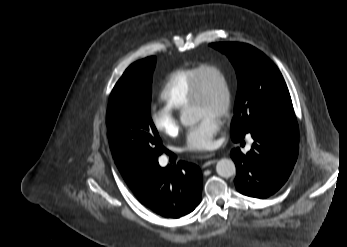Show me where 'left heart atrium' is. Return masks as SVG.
<instances>
[{"label": "left heart atrium", "instance_id": "obj_1", "mask_svg": "<svg viewBox=\"0 0 347 247\" xmlns=\"http://www.w3.org/2000/svg\"><path fill=\"white\" fill-rule=\"evenodd\" d=\"M220 121L215 116H204L192 126L185 138V149L189 151H205L214 144V137L220 130Z\"/></svg>", "mask_w": 347, "mask_h": 247}]
</instances>
